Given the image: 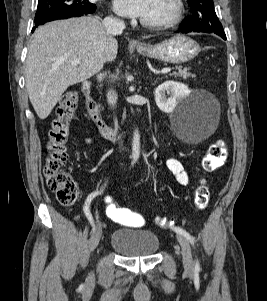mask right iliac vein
<instances>
[{
    "label": "right iliac vein",
    "instance_id": "63e3f726",
    "mask_svg": "<svg viewBox=\"0 0 267 301\" xmlns=\"http://www.w3.org/2000/svg\"><path fill=\"white\" fill-rule=\"evenodd\" d=\"M101 235H102V226H101V222H98L96 227H95V230H94V233L92 235V238H91V241H90V250L91 251H94L99 242H100V239H101ZM93 278V274H91L90 276V279Z\"/></svg>",
    "mask_w": 267,
    "mask_h": 301
}]
</instances>
